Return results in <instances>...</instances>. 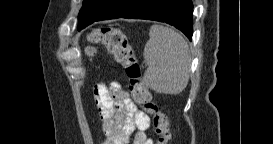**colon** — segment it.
I'll return each mask as SVG.
<instances>
[{
    "label": "colon",
    "mask_w": 273,
    "mask_h": 144,
    "mask_svg": "<svg viewBox=\"0 0 273 144\" xmlns=\"http://www.w3.org/2000/svg\"><path fill=\"white\" fill-rule=\"evenodd\" d=\"M90 40L93 42L102 40L115 61L124 68L134 101L152 117V124L157 137L156 143H169L168 118L153 101L148 86L142 80V68L125 33L115 26H102L90 36ZM93 52L94 48L89 47L88 53L92 54Z\"/></svg>",
    "instance_id": "obj_1"
}]
</instances>
